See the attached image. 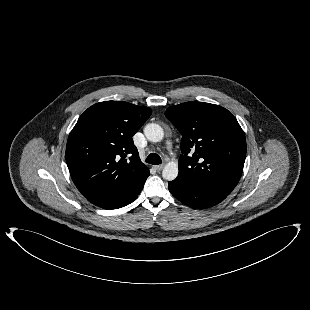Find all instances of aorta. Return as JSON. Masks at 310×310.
Listing matches in <instances>:
<instances>
[{"label":"aorta","mask_w":310,"mask_h":310,"mask_svg":"<svg viewBox=\"0 0 310 310\" xmlns=\"http://www.w3.org/2000/svg\"><path fill=\"white\" fill-rule=\"evenodd\" d=\"M146 138L151 142H160L164 137L163 128L156 123H149L144 128ZM162 176L168 181L175 180L178 176V164L176 162H168L162 171Z\"/></svg>","instance_id":"762f6f07"}]
</instances>
